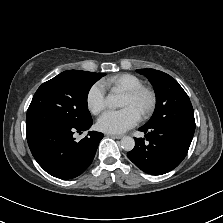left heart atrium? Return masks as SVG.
Masks as SVG:
<instances>
[{
	"instance_id": "left-heart-atrium-1",
	"label": "left heart atrium",
	"mask_w": 223,
	"mask_h": 223,
	"mask_svg": "<svg viewBox=\"0 0 223 223\" xmlns=\"http://www.w3.org/2000/svg\"><path fill=\"white\" fill-rule=\"evenodd\" d=\"M140 114L133 106L119 110H108L98 120L100 130L108 133H122L135 126Z\"/></svg>"
}]
</instances>
